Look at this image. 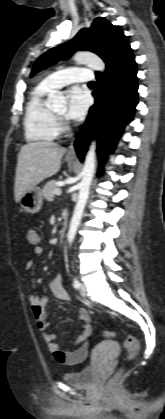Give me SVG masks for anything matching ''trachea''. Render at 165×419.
I'll list each match as a JSON object with an SVG mask.
<instances>
[{"instance_id": "trachea-1", "label": "trachea", "mask_w": 165, "mask_h": 419, "mask_svg": "<svg viewBox=\"0 0 165 419\" xmlns=\"http://www.w3.org/2000/svg\"><path fill=\"white\" fill-rule=\"evenodd\" d=\"M89 85H95L94 81L89 82Z\"/></svg>"}]
</instances>
